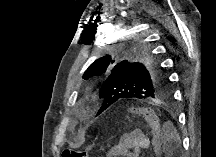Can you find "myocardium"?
<instances>
[{"instance_id":"1","label":"myocardium","mask_w":216,"mask_h":157,"mask_svg":"<svg viewBox=\"0 0 216 157\" xmlns=\"http://www.w3.org/2000/svg\"><path fill=\"white\" fill-rule=\"evenodd\" d=\"M89 114V109H85L83 112H82V117H86L87 115Z\"/></svg>"}]
</instances>
